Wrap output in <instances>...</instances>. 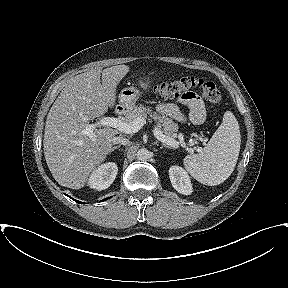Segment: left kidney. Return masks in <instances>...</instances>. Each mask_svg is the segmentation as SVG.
<instances>
[{"label":"left kidney","instance_id":"left-kidney-1","mask_svg":"<svg viewBox=\"0 0 288 288\" xmlns=\"http://www.w3.org/2000/svg\"><path fill=\"white\" fill-rule=\"evenodd\" d=\"M169 178L176 191L184 195L191 194L192 185L187 172L183 168L179 166L170 167Z\"/></svg>","mask_w":288,"mask_h":288}]
</instances>
